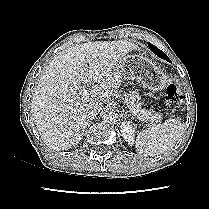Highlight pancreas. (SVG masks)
Here are the masks:
<instances>
[{"instance_id":"cf45deb5","label":"pancreas","mask_w":209,"mask_h":209,"mask_svg":"<svg viewBox=\"0 0 209 209\" xmlns=\"http://www.w3.org/2000/svg\"><path fill=\"white\" fill-rule=\"evenodd\" d=\"M125 103L137 111L134 115L141 121L156 124L162 120V114L156 113L152 110H145L141 107L140 96L137 92L128 94Z\"/></svg>"}]
</instances>
